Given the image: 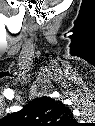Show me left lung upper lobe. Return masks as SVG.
<instances>
[{
    "label": "left lung upper lobe",
    "instance_id": "left-lung-upper-lobe-1",
    "mask_svg": "<svg viewBox=\"0 0 95 126\" xmlns=\"http://www.w3.org/2000/svg\"><path fill=\"white\" fill-rule=\"evenodd\" d=\"M7 119L16 126H70L73 114L61 101L44 96L9 114Z\"/></svg>",
    "mask_w": 95,
    "mask_h": 126
}]
</instances>
